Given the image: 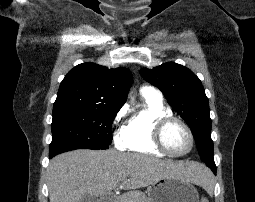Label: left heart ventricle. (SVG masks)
I'll list each match as a JSON object with an SVG mask.
<instances>
[{
	"mask_svg": "<svg viewBox=\"0 0 255 202\" xmlns=\"http://www.w3.org/2000/svg\"><path fill=\"white\" fill-rule=\"evenodd\" d=\"M164 140L168 148L181 153L188 150L190 139L186 130L177 123L171 124L165 131Z\"/></svg>",
	"mask_w": 255,
	"mask_h": 202,
	"instance_id": "obj_1",
	"label": "left heart ventricle"
}]
</instances>
